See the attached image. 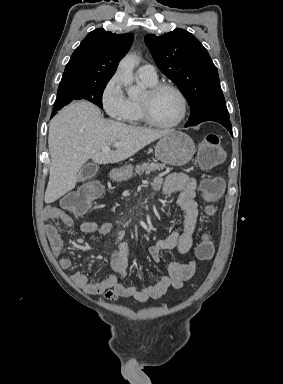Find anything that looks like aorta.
I'll return each mask as SVG.
<instances>
[{
  "label": "aorta",
  "instance_id": "1",
  "mask_svg": "<svg viewBox=\"0 0 283 384\" xmlns=\"http://www.w3.org/2000/svg\"><path fill=\"white\" fill-rule=\"evenodd\" d=\"M138 63L135 54L126 55L119 63L118 72L122 83L128 87L127 93L131 97L139 94V89L133 85V69Z\"/></svg>",
  "mask_w": 283,
  "mask_h": 384
}]
</instances>
